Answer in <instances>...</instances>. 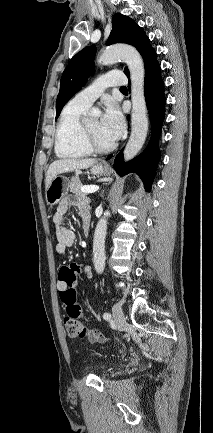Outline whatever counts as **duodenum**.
Instances as JSON below:
<instances>
[{
	"label": "duodenum",
	"instance_id": "duodenum-1",
	"mask_svg": "<svg viewBox=\"0 0 213 433\" xmlns=\"http://www.w3.org/2000/svg\"><path fill=\"white\" fill-rule=\"evenodd\" d=\"M83 231H84V233H85L86 235H88V233H89V227L86 226V227L83 229Z\"/></svg>",
	"mask_w": 213,
	"mask_h": 433
}]
</instances>
